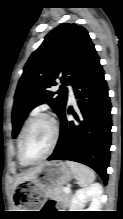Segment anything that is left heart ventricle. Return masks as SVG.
Here are the masks:
<instances>
[{"label":"left heart ventricle","instance_id":"left-heart-ventricle-1","mask_svg":"<svg viewBox=\"0 0 123 219\" xmlns=\"http://www.w3.org/2000/svg\"><path fill=\"white\" fill-rule=\"evenodd\" d=\"M52 140V128L45 119L34 121L25 136L23 151L28 160L41 158L49 148Z\"/></svg>","mask_w":123,"mask_h":219}]
</instances>
